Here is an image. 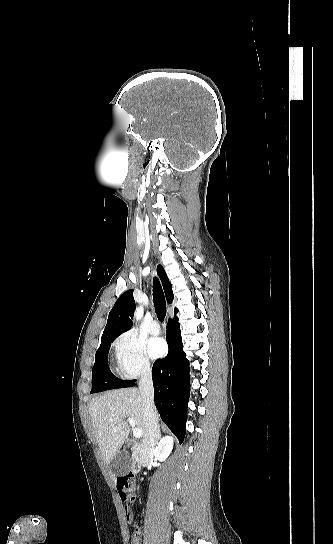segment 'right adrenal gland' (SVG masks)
Wrapping results in <instances>:
<instances>
[{
  "instance_id": "right-adrenal-gland-1",
  "label": "right adrenal gland",
  "mask_w": 333,
  "mask_h": 544,
  "mask_svg": "<svg viewBox=\"0 0 333 544\" xmlns=\"http://www.w3.org/2000/svg\"><path fill=\"white\" fill-rule=\"evenodd\" d=\"M161 430H160V425L158 426V430H157V437H156V444H158L159 440L161 439Z\"/></svg>"
}]
</instances>
